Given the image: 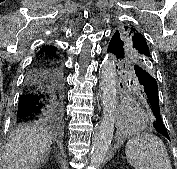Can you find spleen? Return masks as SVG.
<instances>
[{
	"label": "spleen",
	"instance_id": "1",
	"mask_svg": "<svg viewBox=\"0 0 177 169\" xmlns=\"http://www.w3.org/2000/svg\"><path fill=\"white\" fill-rule=\"evenodd\" d=\"M126 157L135 169H172L164 142L142 133L127 142Z\"/></svg>",
	"mask_w": 177,
	"mask_h": 169
}]
</instances>
